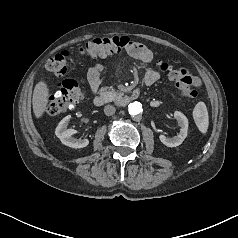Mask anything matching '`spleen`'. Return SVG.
<instances>
[{
  "label": "spleen",
  "mask_w": 238,
  "mask_h": 238,
  "mask_svg": "<svg viewBox=\"0 0 238 238\" xmlns=\"http://www.w3.org/2000/svg\"><path fill=\"white\" fill-rule=\"evenodd\" d=\"M193 119L202 134H206L209 126L208 110L204 102L200 101L193 110Z\"/></svg>",
  "instance_id": "1"
}]
</instances>
